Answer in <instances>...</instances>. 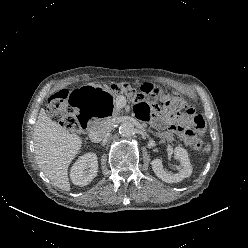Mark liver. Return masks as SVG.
<instances>
[{
	"mask_svg": "<svg viewBox=\"0 0 248 248\" xmlns=\"http://www.w3.org/2000/svg\"><path fill=\"white\" fill-rule=\"evenodd\" d=\"M35 159L45 176L58 188L70 191L68 167L82 146V139L52 121L41 109L34 126Z\"/></svg>",
	"mask_w": 248,
	"mask_h": 248,
	"instance_id": "liver-1",
	"label": "liver"
}]
</instances>
